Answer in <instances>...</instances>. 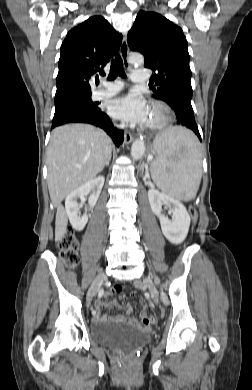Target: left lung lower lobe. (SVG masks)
I'll use <instances>...</instances> for the list:
<instances>
[{
	"label": "left lung lower lobe",
	"mask_w": 252,
	"mask_h": 390,
	"mask_svg": "<svg viewBox=\"0 0 252 390\" xmlns=\"http://www.w3.org/2000/svg\"><path fill=\"white\" fill-rule=\"evenodd\" d=\"M176 114V124L185 126L195 132L201 141V136L195 121L191 101L187 99L177 98L169 104Z\"/></svg>",
	"instance_id": "left-lung-lower-lobe-1"
}]
</instances>
